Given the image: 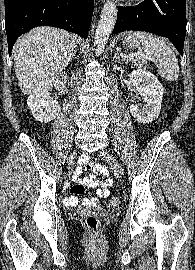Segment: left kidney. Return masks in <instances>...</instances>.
Wrapping results in <instances>:
<instances>
[{"label":"left kidney","mask_w":195,"mask_h":270,"mask_svg":"<svg viewBox=\"0 0 195 270\" xmlns=\"http://www.w3.org/2000/svg\"><path fill=\"white\" fill-rule=\"evenodd\" d=\"M129 77L133 90L144 97L145 107L139 109L131 104L130 113L141 123H149L158 118L163 98V86L157 77L145 69L134 70Z\"/></svg>","instance_id":"left-kidney-1"}]
</instances>
